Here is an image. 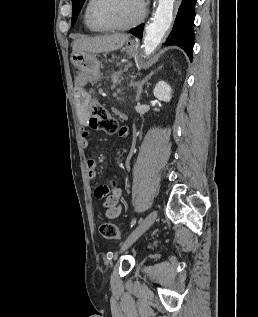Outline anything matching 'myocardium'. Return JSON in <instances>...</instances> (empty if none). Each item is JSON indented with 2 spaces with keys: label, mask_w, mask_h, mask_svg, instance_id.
Returning a JSON list of instances; mask_svg holds the SVG:
<instances>
[{
  "label": "myocardium",
  "mask_w": 258,
  "mask_h": 317,
  "mask_svg": "<svg viewBox=\"0 0 258 317\" xmlns=\"http://www.w3.org/2000/svg\"><path fill=\"white\" fill-rule=\"evenodd\" d=\"M100 1H102V0H91L89 3V6H88V10H87L88 20H89L90 24L97 30H100V31H132L136 27H138L139 24L144 19V16H145L144 4L142 3L141 0H133L139 8V13H138L137 19L135 20V22L132 25L126 26V27L101 25L94 19L93 15H92V11H93L94 6Z\"/></svg>",
  "instance_id": "myocardium-1"
}]
</instances>
